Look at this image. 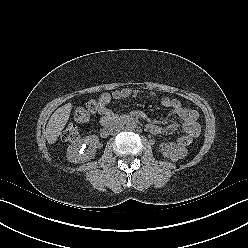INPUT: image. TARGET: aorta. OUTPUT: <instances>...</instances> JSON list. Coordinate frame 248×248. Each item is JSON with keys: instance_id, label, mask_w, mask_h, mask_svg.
Here are the masks:
<instances>
[{"instance_id": "762f6f07", "label": "aorta", "mask_w": 248, "mask_h": 248, "mask_svg": "<svg viewBox=\"0 0 248 248\" xmlns=\"http://www.w3.org/2000/svg\"><path fill=\"white\" fill-rule=\"evenodd\" d=\"M136 128V122L134 120H129L126 123L127 130H134Z\"/></svg>"}]
</instances>
